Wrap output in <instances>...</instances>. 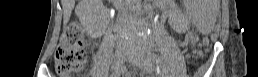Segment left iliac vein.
I'll return each instance as SVG.
<instances>
[{
	"label": "left iliac vein",
	"instance_id": "left-iliac-vein-1",
	"mask_svg": "<svg viewBox=\"0 0 258 77\" xmlns=\"http://www.w3.org/2000/svg\"><path fill=\"white\" fill-rule=\"evenodd\" d=\"M134 63L148 73L154 72V65L151 58L141 55Z\"/></svg>",
	"mask_w": 258,
	"mask_h": 77
}]
</instances>
